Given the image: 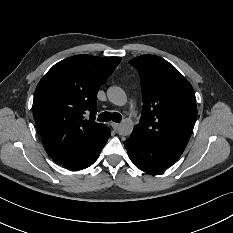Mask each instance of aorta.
<instances>
[{"label": "aorta", "instance_id": "1", "mask_svg": "<svg viewBox=\"0 0 233 233\" xmlns=\"http://www.w3.org/2000/svg\"><path fill=\"white\" fill-rule=\"evenodd\" d=\"M109 101L115 105L123 106L127 102V96L124 90L117 86L109 87L107 90ZM134 123L131 119H123L118 128V133L123 136H128L132 133Z\"/></svg>", "mask_w": 233, "mask_h": 233}]
</instances>
